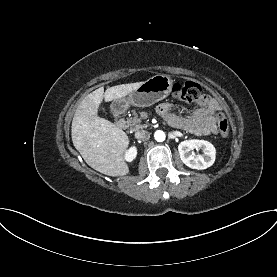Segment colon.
I'll list each match as a JSON object with an SVG mask.
<instances>
[{
  "label": "colon",
  "mask_w": 277,
  "mask_h": 277,
  "mask_svg": "<svg viewBox=\"0 0 277 277\" xmlns=\"http://www.w3.org/2000/svg\"><path fill=\"white\" fill-rule=\"evenodd\" d=\"M173 96L185 105L193 104L202 98V89L199 84L192 81L177 82L173 86ZM219 132L227 136L229 132L228 120L223 113L217 114Z\"/></svg>",
  "instance_id": "obj_1"
}]
</instances>
